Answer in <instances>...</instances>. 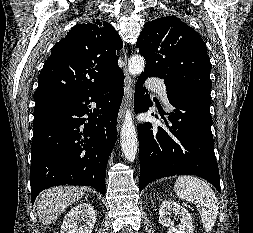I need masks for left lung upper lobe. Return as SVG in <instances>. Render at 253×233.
<instances>
[{
	"mask_svg": "<svg viewBox=\"0 0 253 233\" xmlns=\"http://www.w3.org/2000/svg\"><path fill=\"white\" fill-rule=\"evenodd\" d=\"M136 46L146 60L142 74L163 79L168 99L188 94L210 96L211 64L206 44L179 18L166 16L146 22Z\"/></svg>",
	"mask_w": 253,
	"mask_h": 233,
	"instance_id": "obj_1",
	"label": "left lung upper lobe"
}]
</instances>
